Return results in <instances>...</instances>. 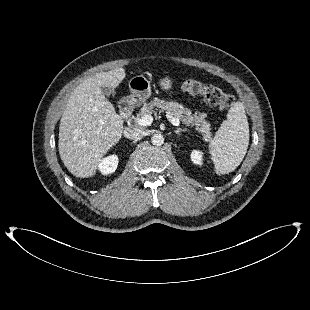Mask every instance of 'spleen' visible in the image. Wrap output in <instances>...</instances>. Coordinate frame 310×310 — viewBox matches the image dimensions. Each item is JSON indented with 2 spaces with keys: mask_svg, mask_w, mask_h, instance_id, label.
<instances>
[{
  "mask_svg": "<svg viewBox=\"0 0 310 310\" xmlns=\"http://www.w3.org/2000/svg\"><path fill=\"white\" fill-rule=\"evenodd\" d=\"M249 145V124L244 105L236 102L228 110L215 137L208 146L217 174L234 171L242 162Z\"/></svg>",
  "mask_w": 310,
  "mask_h": 310,
  "instance_id": "1",
  "label": "spleen"
}]
</instances>
